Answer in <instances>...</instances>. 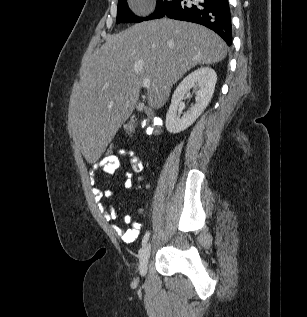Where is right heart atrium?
I'll return each mask as SVG.
<instances>
[{
	"mask_svg": "<svg viewBox=\"0 0 307 317\" xmlns=\"http://www.w3.org/2000/svg\"><path fill=\"white\" fill-rule=\"evenodd\" d=\"M136 1H141V0H136ZM141 11H142L143 13H148V12L150 11V7H149V6H143V7L141 8Z\"/></svg>",
	"mask_w": 307,
	"mask_h": 317,
	"instance_id": "right-heart-atrium-1",
	"label": "right heart atrium"
}]
</instances>
